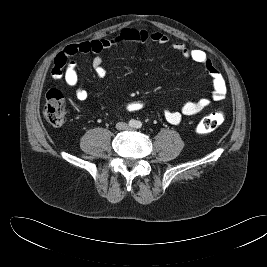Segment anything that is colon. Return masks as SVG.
I'll return each mask as SVG.
<instances>
[{"mask_svg": "<svg viewBox=\"0 0 267 267\" xmlns=\"http://www.w3.org/2000/svg\"><path fill=\"white\" fill-rule=\"evenodd\" d=\"M125 108L128 111H138L143 108V104L139 101H131L125 104ZM43 114L47 122L53 126L64 124L66 109L61 91L53 88L47 92ZM224 119V113L219 110L205 116L197 125V133L204 135L213 132L224 122Z\"/></svg>", "mask_w": 267, "mask_h": 267, "instance_id": "obj_1", "label": "colon"}]
</instances>
